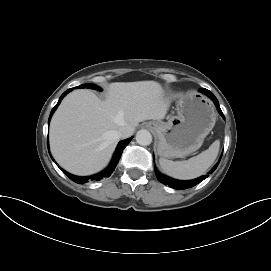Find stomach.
<instances>
[{"instance_id": "0dacf381", "label": "stomach", "mask_w": 271, "mask_h": 271, "mask_svg": "<svg viewBox=\"0 0 271 271\" xmlns=\"http://www.w3.org/2000/svg\"><path fill=\"white\" fill-rule=\"evenodd\" d=\"M176 110L177 115L169 116L167 122L149 123L158 137L157 153L163 158H183L198 150L216 122L211 101L197 91L182 95Z\"/></svg>"}]
</instances>
